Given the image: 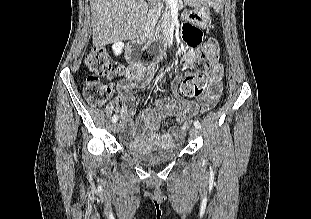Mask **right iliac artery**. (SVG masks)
I'll use <instances>...</instances> for the list:
<instances>
[{
  "label": "right iliac artery",
  "mask_w": 311,
  "mask_h": 219,
  "mask_svg": "<svg viewBox=\"0 0 311 219\" xmlns=\"http://www.w3.org/2000/svg\"><path fill=\"white\" fill-rule=\"evenodd\" d=\"M117 120H118V116L117 115H114L113 117H112V122L114 123V122H117Z\"/></svg>",
  "instance_id": "82829eb1"
}]
</instances>
